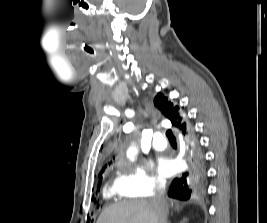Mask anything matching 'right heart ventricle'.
<instances>
[{
	"label": "right heart ventricle",
	"mask_w": 267,
	"mask_h": 223,
	"mask_svg": "<svg viewBox=\"0 0 267 223\" xmlns=\"http://www.w3.org/2000/svg\"><path fill=\"white\" fill-rule=\"evenodd\" d=\"M127 194L120 186L119 178H116L112 183L108 184L104 190V197L113 199L126 197Z\"/></svg>",
	"instance_id": "e07e8e85"
}]
</instances>
